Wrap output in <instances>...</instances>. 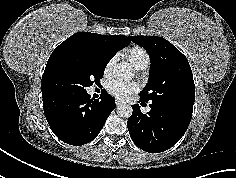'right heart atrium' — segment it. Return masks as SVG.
I'll return each instance as SVG.
<instances>
[{
	"instance_id": "obj_1",
	"label": "right heart atrium",
	"mask_w": 236,
	"mask_h": 178,
	"mask_svg": "<svg viewBox=\"0 0 236 178\" xmlns=\"http://www.w3.org/2000/svg\"><path fill=\"white\" fill-rule=\"evenodd\" d=\"M115 60H116V58L113 57L106 63V65L104 67V74L105 75H109L111 73L113 65L115 63Z\"/></svg>"
}]
</instances>
